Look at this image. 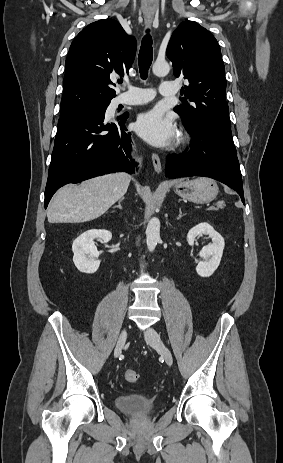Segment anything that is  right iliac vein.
<instances>
[{
	"label": "right iliac vein",
	"instance_id": "obj_1",
	"mask_svg": "<svg viewBox=\"0 0 283 463\" xmlns=\"http://www.w3.org/2000/svg\"><path fill=\"white\" fill-rule=\"evenodd\" d=\"M127 339V330L123 329L115 346L114 356L117 357L121 354L124 344Z\"/></svg>",
	"mask_w": 283,
	"mask_h": 463
}]
</instances>
